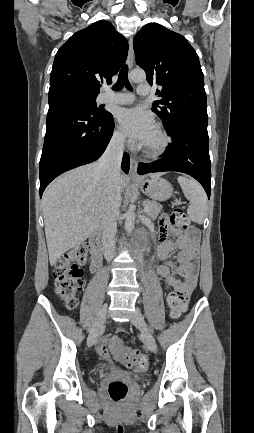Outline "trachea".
Instances as JSON below:
<instances>
[{
    "label": "trachea",
    "mask_w": 254,
    "mask_h": 433,
    "mask_svg": "<svg viewBox=\"0 0 254 433\" xmlns=\"http://www.w3.org/2000/svg\"><path fill=\"white\" fill-rule=\"evenodd\" d=\"M123 86H125L127 89H131V85L128 81V66L124 65L122 69L120 70L118 81L117 83L112 87L113 90L118 91Z\"/></svg>",
    "instance_id": "obj_1"
}]
</instances>
